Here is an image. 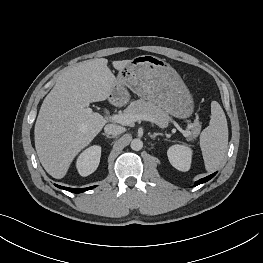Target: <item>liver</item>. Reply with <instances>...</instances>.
Segmentation results:
<instances>
[{
	"mask_svg": "<svg viewBox=\"0 0 263 263\" xmlns=\"http://www.w3.org/2000/svg\"><path fill=\"white\" fill-rule=\"evenodd\" d=\"M130 61H113L112 65L121 71ZM107 65V59L96 58L69 68L41 105L34 129L35 148L53 178L66 175L75 156L107 123L99 113L87 110L90 103L106 100L116 83Z\"/></svg>",
	"mask_w": 263,
	"mask_h": 263,
	"instance_id": "1",
	"label": "liver"
}]
</instances>
